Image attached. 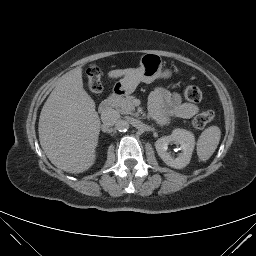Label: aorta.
<instances>
[{"label":"aorta","mask_w":256,"mask_h":256,"mask_svg":"<svg viewBox=\"0 0 256 256\" xmlns=\"http://www.w3.org/2000/svg\"><path fill=\"white\" fill-rule=\"evenodd\" d=\"M129 122L126 121V120H120L117 122L116 124V128L119 130V131H127L129 129Z\"/></svg>","instance_id":"762f6f07"}]
</instances>
